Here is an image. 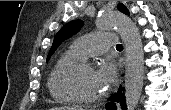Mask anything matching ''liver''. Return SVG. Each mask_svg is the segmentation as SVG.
Instances as JSON below:
<instances>
[{
  "label": "liver",
  "mask_w": 171,
  "mask_h": 110,
  "mask_svg": "<svg viewBox=\"0 0 171 110\" xmlns=\"http://www.w3.org/2000/svg\"><path fill=\"white\" fill-rule=\"evenodd\" d=\"M52 110H83V109L76 108V107H59V108H53Z\"/></svg>",
  "instance_id": "6515ba94"
}]
</instances>
